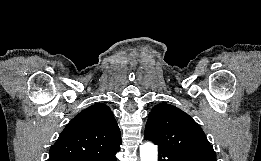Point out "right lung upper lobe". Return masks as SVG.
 <instances>
[{"label":"right lung upper lobe","mask_w":261,"mask_h":161,"mask_svg":"<svg viewBox=\"0 0 261 161\" xmlns=\"http://www.w3.org/2000/svg\"><path fill=\"white\" fill-rule=\"evenodd\" d=\"M121 133L110 108L94 104L76 115L52 145L48 161H75L117 150Z\"/></svg>","instance_id":"obj_1"}]
</instances>
